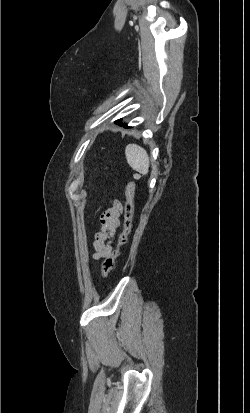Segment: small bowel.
I'll return each instance as SVG.
<instances>
[{
    "mask_svg": "<svg viewBox=\"0 0 250 413\" xmlns=\"http://www.w3.org/2000/svg\"><path fill=\"white\" fill-rule=\"evenodd\" d=\"M120 215L121 207L117 202L101 214V228L95 232L92 244L95 250L92 256L94 260L105 258L112 251L113 243L120 226Z\"/></svg>",
    "mask_w": 250,
    "mask_h": 413,
    "instance_id": "obj_1",
    "label": "small bowel"
}]
</instances>
